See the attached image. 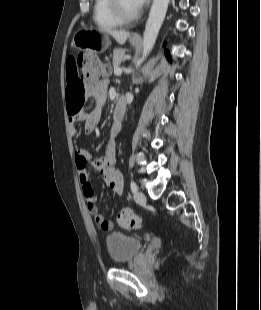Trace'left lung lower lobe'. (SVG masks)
I'll return each instance as SVG.
<instances>
[{"instance_id": "1", "label": "left lung lower lobe", "mask_w": 261, "mask_h": 310, "mask_svg": "<svg viewBox=\"0 0 261 310\" xmlns=\"http://www.w3.org/2000/svg\"><path fill=\"white\" fill-rule=\"evenodd\" d=\"M165 54H166L167 59L170 60V55L167 50L165 51Z\"/></svg>"}]
</instances>
